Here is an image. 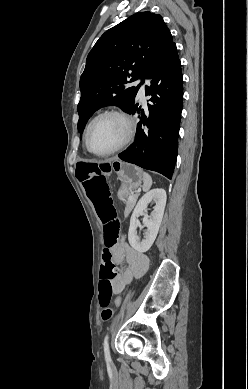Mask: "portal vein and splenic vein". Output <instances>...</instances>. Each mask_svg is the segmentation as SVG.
Wrapping results in <instances>:
<instances>
[{
    "label": "portal vein and splenic vein",
    "instance_id": "obj_1",
    "mask_svg": "<svg viewBox=\"0 0 248 389\" xmlns=\"http://www.w3.org/2000/svg\"><path fill=\"white\" fill-rule=\"evenodd\" d=\"M133 198H134V195H133V194L129 195V199H130V200H132Z\"/></svg>",
    "mask_w": 248,
    "mask_h": 389
}]
</instances>
